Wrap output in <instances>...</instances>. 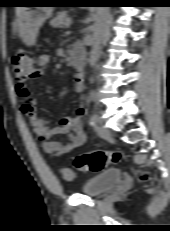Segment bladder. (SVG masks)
<instances>
[{"label": "bladder", "mask_w": 170, "mask_h": 231, "mask_svg": "<svg viewBox=\"0 0 170 231\" xmlns=\"http://www.w3.org/2000/svg\"><path fill=\"white\" fill-rule=\"evenodd\" d=\"M122 178L123 172L121 169H109L89 179L82 186V191L87 196H99L112 189Z\"/></svg>", "instance_id": "1"}]
</instances>
